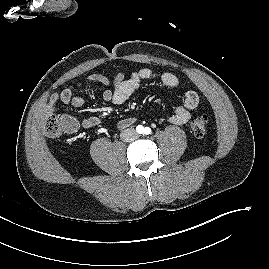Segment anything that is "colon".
Instances as JSON below:
<instances>
[{"label": "colon", "instance_id": "1", "mask_svg": "<svg viewBox=\"0 0 269 269\" xmlns=\"http://www.w3.org/2000/svg\"><path fill=\"white\" fill-rule=\"evenodd\" d=\"M207 125V116L199 115L192 120L191 130L196 137L200 138L205 135ZM44 129L47 136L57 138L63 134L71 133L75 129V124L67 115L57 116L53 113H49L44 120Z\"/></svg>", "mask_w": 269, "mask_h": 269}]
</instances>
